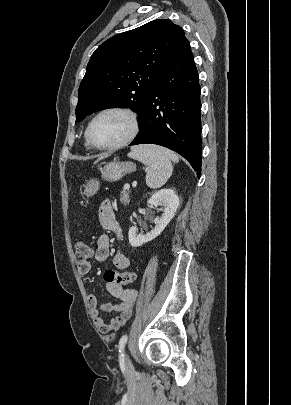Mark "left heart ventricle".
Returning <instances> with one entry per match:
<instances>
[{
  "label": "left heart ventricle",
  "mask_w": 291,
  "mask_h": 405,
  "mask_svg": "<svg viewBox=\"0 0 291 405\" xmlns=\"http://www.w3.org/2000/svg\"><path fill=\"white\" fill-rule=\"evenodd\" d=\"M129 119L119 113H107L99 117L91 129L92 141L98 146L113 145L130 132Z\"/></svg>",
  "instance_id": "obj_1"
}]
</instances>
